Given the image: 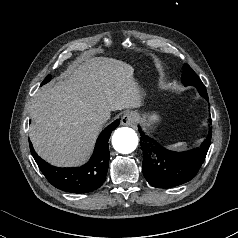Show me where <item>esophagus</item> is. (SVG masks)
<instances>
[{
    "mask_svg": "<svg viewBox=\"0 0 238 238\" xmlns=\"http://www.w3.org/2000/svg\"><path fill=\"white\" fill-rule=\"evenodd\" d=\"M136 122V115L132 112L125 113L121 118L123 126H133Z\"/></svg>",
    "mask_w": 238,
    "mask_h": 238,
    "instance_id": "1",
    "label": "esophagus"
}]
</instances>
